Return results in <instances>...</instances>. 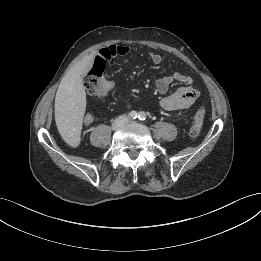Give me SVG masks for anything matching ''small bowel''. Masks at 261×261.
I'll return each instance as SVG.
<instances>
[{
	"mask_svg": "<svg viewBox=\"0 0 261 261\" xmlns=\"http://www.w3.org/2000/svg\"><path fill=\"white\" fill-rule=\"evenodd\" d=\"M130 51V48L124 44H112L100 49L95 60H100L106 64L107 61L116 58L124 57ZM151 62L159 66L162 64L163 59L160 54L152 52L149 55ZM174 82H180L182 86L172 93H168L170 86ZM109 92L114 89L113 82L106 80ZM157 91L164 95L160 101V106L166 111H176L187 109L191 107L199 98V91L192 85L191 77L175 72L170 75H165L156 80ZM94 121L91 114H86L83 118L84 125H90Z\"/></svg>",
	"mask_w": 261,
	"mask_h": 261,
	"instance_id": "obj_1",
	"label": "small bowel"
}]
</instances>
